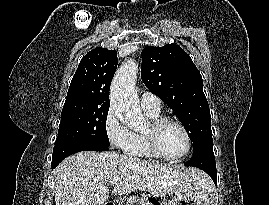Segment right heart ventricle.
I'll return each instance as SVG.
<instances>
[{
	"label": "right heart ventricle",
	"instance_id": "right-heart-ventricle-1",
	"mask_svg": "<svg viewBox=\"0 0 269 205\" xmlns=\"http://www.w3.org/2000/svg\"><path fill=\"white\" fill-rule=\"evenodd\" d=\"M147 117L154 120L160 116V111L144 110ZM126 154L137 158H152L154 157L149 151L143 132H133L132 140L129 147L125 150Z\"/></svg>",
	"mask_w": 269,
	"mask_h": 205
}]
</instances>
